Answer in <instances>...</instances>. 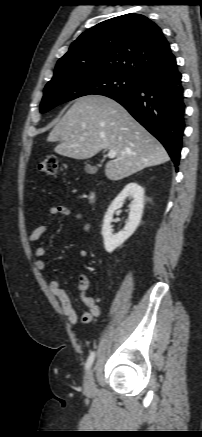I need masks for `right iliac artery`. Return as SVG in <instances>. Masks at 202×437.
I'll use <instances>...</instances> for the list:
<instances>
[{"label": "right iliac artery", "mask_w": 202, "mask_h": 437, "mask_svg": "<svg viewBox=\"0 0 202 437\" xmlns=\"http://www.w3.org/2000/svg\"><path fill=\"white\" fill-rule=\"evenodd\" d=\"M94 357H95V353L91 352V354L89 355V357L87 359L86 365H85V369L87 371L91 368L93 361H94Z\"/></svg>", "instance_id": "82829eb1"}]
</instances>
